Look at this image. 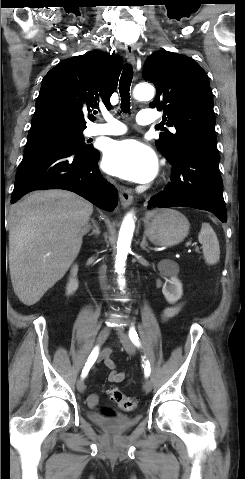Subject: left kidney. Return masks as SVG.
<instances>
[{
  "label": "left kidney",
  "mask_w": 245,
  "mask_h": 479,
  "mask_svg": "<svg viewBox=\"0 0 245 479\" xmlns=\"http://www.w3.org/2000/svg\"><path fill=\"white\" fill-rule=\"evenodd\" d=\"M158 270L162 276L169 277L162 288V293L170 304L176 303L182 296V283L177 278L179 266L176 262L164 259L159 262Z\"/></svg>",
  "instance_id": "1"
}]
</instances>
